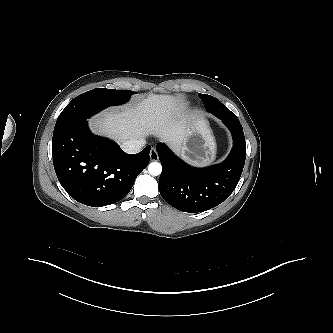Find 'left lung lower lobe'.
<instances>
[{"mask_svg":"<svg viewBox=\"0 0 333 333\" xmlns=\"http://www.w3.org/2000/svg\"><path fill=\"white\" fill-rule=\"evenodd\" d=\"M210 111L230 130L233 148L220 164L195 168L178 158L164 143L156 146L162 165L159 191L176 209L196 213L209 210L226 200L242 174L246 143L243 128L234 113L219 100H211ZM206 103V101H204Z\"/></svg>","mask_w":333,"mask_h":333,"instance_id":"left-lung-lower-lobe-1","label":"left lung lower lobe"}]
</instances>
